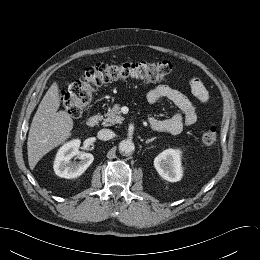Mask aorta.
I'll return each instance as SVG.
<instances>
[{
	"instance_id": "obj_1",
	"label": "aorta",
	"mask_w": 260,
	"mask_h": 260,
	"mask_svg": "<svg viewBox=\"0 0 260 260\" xmlns=\"http://www.w3.org/2000/svg\"><path fill=\"white\" fill-rule=\"evenodd\" d=\"M119 152L122 154H132L135 150L134 143L129 139H124L119 143Z\"/></svg>"
}]
</instances>
